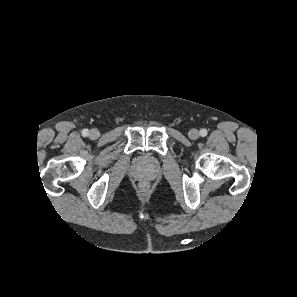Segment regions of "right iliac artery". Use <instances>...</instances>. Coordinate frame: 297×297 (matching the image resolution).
<instances>
[{
    "label": "right iliac artery",
    "mask_w": 297,
    "mask_h": 297,
    "mask_svg": "<svg viewBox=\"0 0 297 297\" xmlns=\"http://www.w3.org/2000/svg\"><path fill=\"white\" fill-rule=\"evenodd\" d=\"M88 134H89L88 129H83V130H82V135H83V136H87Z\"/></svg>",
    "instance_id": "1"
}]
</instances>
